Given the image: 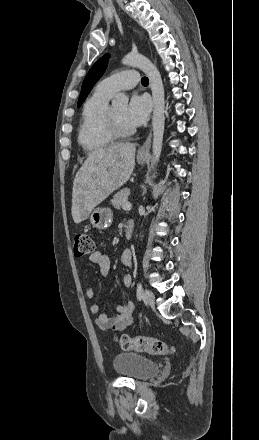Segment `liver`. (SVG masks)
Returning a JSON list of instances; mask_svg holds the SVG:
<instances>
[{
	"mask_svg": "<svg viewBox=\"0 0 259 440\" xmlns=\"http://www.w3.org/2000/svg\"><path fill=\"white\" fill-rule=\"evenodd\" d=\"M136 145L121 143L89 153L73 182L71 214L74 223L86 220L91 211L133 173Z\"/></svg>",
	"mask_w": 259,
	"mask_h": 440,
	"instance_id": "6515ba94",
	"label": "liver"
}]
</instances>
